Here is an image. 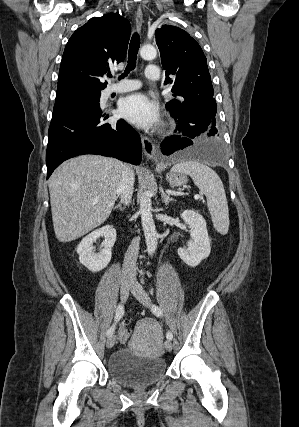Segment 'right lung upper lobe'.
I'll return each instance as SVG.
<instances>
[{"instance_id": "1", "label": "right lung upper lobe", "mask_w": 299, "mask_h": 427, "mask_svg": "<svg viewBox=\"0 0 299 427\" xmlns=\"http://www.w3.org/2000/svg\"><path fill=\"white\" fill-rule=\"evenodd\" d=\"M130 24L119 14L94 17L66 44L59 71L56 103L100 93V79L124 60Z\"/></svg>"}]
</instances>
